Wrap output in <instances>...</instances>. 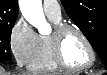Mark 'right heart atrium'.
I'll return each mask as SVG.
<instances>
[{
  "mask_svg": "<svg viewBox=\"0 0 107 75\" xmlns=\"http://www.w3.org/2000/svg\"><path fill=\"white\" fill-rule=\"evenodd\" d=\"M38 35L25 19L20 18L12 27L9 46L19 67L28 66L35 52Z\"/></svg>",
  "mask_w": 107,
  "mask_h": 75,
  "instance_id": "d8ad5b80",
  "label": "right heart atrium"
}]
</instances>
